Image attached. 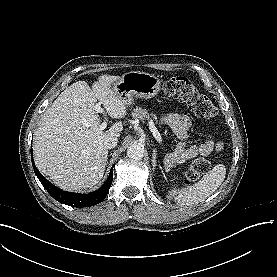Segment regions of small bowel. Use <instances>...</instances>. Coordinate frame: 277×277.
I'll return each instance as SVG.
<instances>
[{"label": "small bowel", "instance_id": "obj_1", "mask_svg": "<svg viewBox=\"0 0 277 277\" xmlns=\"http://www.w3.org/2000/svg\"><path fill=\"white\" fill-rule=\"evenodd\" d=\"M161 122L169 126L179 139L177 150L172 155L173 160L188 161L197 156H207L213 153L218 147V143L212 137H207L201 144L189 146L186 143L188 130L191 126L189 117L178 113L165 114Z\"/></svg>", "mask_w": 277, "mask_h": 277}]
</instances>
